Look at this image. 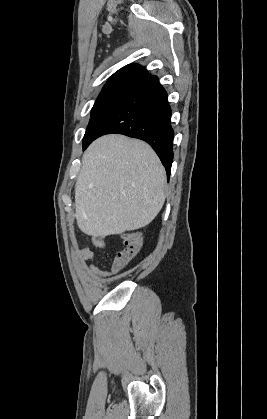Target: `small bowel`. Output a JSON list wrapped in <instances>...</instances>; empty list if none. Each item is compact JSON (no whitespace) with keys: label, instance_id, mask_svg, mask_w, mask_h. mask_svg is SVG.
<instances>
[{"label":"small bowel","instance_id":"obj_1","mask_svg":"<svg viewBox=\"0 0 267 419\" xmlns=\"http://www.w3.org/2000/svg\"><path fill=\"white\" fill-rule=\"evenodd\" d=\"M93 243L98 248H104L106 245V237L105 236H95L93 237ZM81 260L84 263L93 262L95 260V255L92 249L90 248H83L80 251ZM120 267L118 266L116 260L113 258L111 261L110 270H102L96 265H91L90 271L93 275L97 277H106L118 272Z\"/></svg>","mask_w":267,"mask_h":419}]
</instances>
